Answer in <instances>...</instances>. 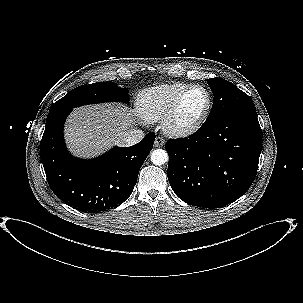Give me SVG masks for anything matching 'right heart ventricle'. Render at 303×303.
<instances>
[{
    "label": "right heart ventricle",
    "mask_w": 303,
    "mask_h": 303,
    "mask_svg": "<svg viewBox=\"0 0 303 303\" xmlns=\"http://www.w3.org/2000/svg\"><path fill=\"white\" fill-rule=\"evenodd\" d=\"M188 86L185 82H173L143 89L136 99L139 116L151 123L161 120Z\"/></svg>",
    "instance_id": "1"
}]
</instances>
